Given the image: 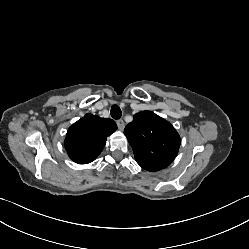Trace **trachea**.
<instances>
[{"mask_svg": "<svg viewBox=\"0 0 249 249\" xmlns=\"http://www.w3.org/2000/svg\"><path fill=\"white\" fill-rule=\"evenodd\" d=\"M110 114L114 119H119L122 116V111L119 106L113 105Z\"/></svg>", "mask_w": 249, "mask_h": 249, "instance_id": "1", "label": "trachea"}]
</instances>
